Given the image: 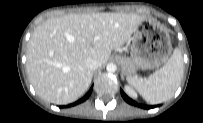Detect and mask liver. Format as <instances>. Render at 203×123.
Segmentation results:
<instances>
[{"instance_id":"6515ba94","label":"liver","mask_w":203,"mask_h":123,"mask_svg":"<svg viewBox=\"0 0 203 123\" xmlns=\"http://www.w3.org/2000/svg\"><path fill=\"white\" fill-rule=\"evenodd\" d=\"M144 18L134 13L70 14L49 18L34 30L27 45L26 70L43 99L58 105L80 98L89 88L92 71L86 60L107 62Z\"/></svg>"}]
</instances>
